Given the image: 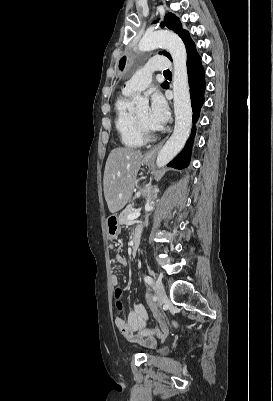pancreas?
<instances>
[{
  "label": "pancreas",
  "instance_id": "pancreas-1",
  "mask_svg": "<svg viewBox=\"0 0 273 401\" xmlns=\"http://www.w3.org/2000/svg\"><path fill=\"white\" fill-rule=\"evenodd\" d=\"M131 213H134L133 205H127L126 209L119 215V225H128L130 221H128L127 217L131 215Z\"/></svg>",
  "mask_w": 273,
  "mask_h": 401
}]
</instances>
